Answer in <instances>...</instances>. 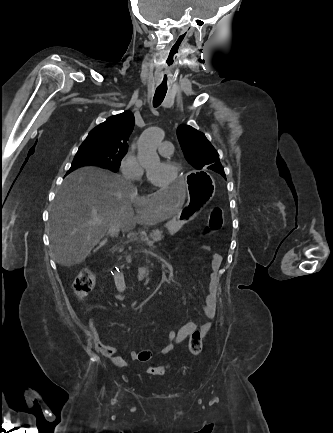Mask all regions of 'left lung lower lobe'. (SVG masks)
<instances>
[{
	"mask_svg": "<svg viewBox=\"0 0 333 433\" xmlns=\"http://www.w3.org/2000/svg\"><path fill=\"white\" fill-rule=\"evenodd\" d=\"M212 168H214V167H212ZM211 169V168H210ZM211 170H214V169H211ZM215 171V170H214ZM217 172V171H216ZM219 173V172H218ZM223 177H225V173L224 172H221L220 173Z\"/></svg>",
	"mask_w": 333,
	"mask_h": 433,
	"instance_id": "left-lung-lower-lobe-1",
	"label": "left lung lower lobe"
}]
</instances>
